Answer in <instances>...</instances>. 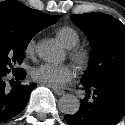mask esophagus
Here are the masks:
<instances>
[{
    "instance_id": "34e87169",
    "label": "esophagus",
    "mask_w": 125,
    "mask_h": 125,
    "mask_svg": "<svg viewBox=\"0 0 125 125\" xmlns=\"http://www.w3.org/2000/svg\"><path fill=\"white\" fill-rule=\"evenodd\" d=\"M53 91H54V93L57 94V95H64V94H65V91H64V90H61V89H56V88H54Z\"/></svg>"
}]
</instances>
